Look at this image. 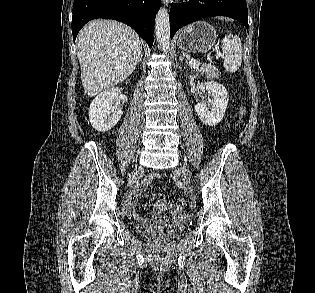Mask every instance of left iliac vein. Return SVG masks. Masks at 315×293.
Instances as JSON below:
<instances>
[{
  "label": "left iliac vein",
  "instance_id": "4c4485c4",
  "mask_svg": "<svg viewBox=\"0 0 315 293\" xmlns=\"http://www.w3.org/2000/svg\"><path fill=\"white\" fill-rule=\"evenodd\" d=\"M178 171L181 173L183 181L186 184L190 183V177H189V174H188L187 170L184 167H180L178 169Z\"/></svg>",
  "mask_w": 315,
  "mask_h": 293
}]
</instances>
